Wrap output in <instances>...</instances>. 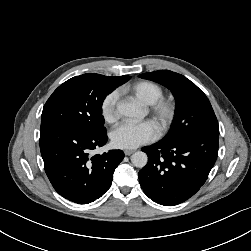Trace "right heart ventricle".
Returning a JSON list of instances; mask_svg holds the SVG:
<instances>
[{
    "label": "right heart ventricle",
    "instance_id": "e07e8e85",
    "mask_svg": "<svg viewBox=\"0 0 251 251\" xmlns=\"http://www.w3.org/2000/svg\"><path fill=\"white\" fill-rule=\"evenodd\" d=\"M139 101L145 105H150L163 97L162 87L152 81H139L127 88Z\"/></svg>",
    "mask_w": 251,
    "mask_h": 251
}]
</instances>
